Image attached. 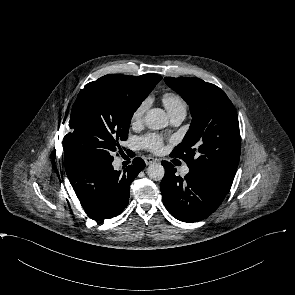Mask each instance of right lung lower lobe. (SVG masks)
<instances>
[{
	"mask_svg": "<svg viewBox=\"0 0 295 295\" xmlns=\"http://www.w3.org/2000/svg\"><path fill=\"white\" fill-rule=\"evenodd\" d=\"M113 160H91L76 165L68 179L89 218L95 221L119 215L128 205L130 185L145 167L141 158L123 171H116Z\"/></svg>",
	"mask_w": 295,
	"mask_h": 295,
	"instance_id": "right-lung-lower-lobe-1",
	"label": "right lung lower lobe"
}]
</instances>
